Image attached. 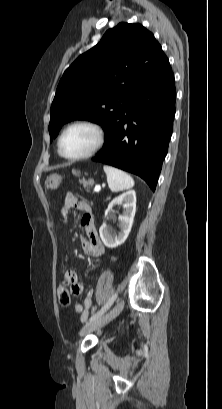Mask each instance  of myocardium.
<instances>
[{"mask_svg":"<svg viewBox=\"0 0 222 409\" xmlns=\"http://www.w3.org/2000/svg\"><path fill=\"white\" fill-rule=\"evenodd\" d=\"M78 126H86L89 127L91 129H93L96 133L97 139H96V143L95 145L86 153L78 155V156H68L66 154L63 153L62 150V141H63V137L65 136V134L72 128L74 127H78ZM106 141V132L105 129L103 128V126L101 124H99L98 122L92 121V120H80V121H76L73 122L71 124H69L60 134L59 139H58V152L60 154L61 157H63L64 159L70 160V161H78V160H83V159H87L90 158L92 156H94L97 152H99L101 150V148L104 146Z\"/></svg>","mask_w":222,"mask_h":409,"instance_id":"obj_1","label":"myocardium"}]
</instances>
